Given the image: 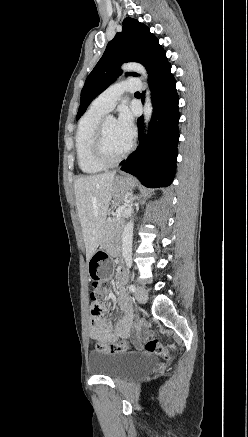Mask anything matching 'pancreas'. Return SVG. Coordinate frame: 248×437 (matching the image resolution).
<instances>
[{
  "mask_svg": "<svg viewBox=\"0 0 248 437\" xmlns=\"http://www.w3.org/2000/svg\"><path fill=\"white\" fill-rule=\"evenodd\" d=\"M124 221V216H116L108 220L106 223V235L110 238H115L119 235L122 224Z\"/></svg>",
  "mask_w": 248,
  "mask_h": 437,
  "instance_id": "pancreas-1",
  "label": "pancreas"
}]
</instances>
